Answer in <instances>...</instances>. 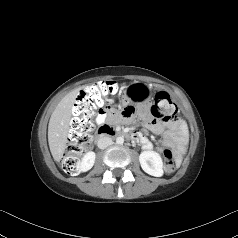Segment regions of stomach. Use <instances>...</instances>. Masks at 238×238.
Returning <instances> with one entry per match:
<instances>
[{
  "instance_id": "1",
  "label": "stomach",
  "mask_w": 238,
  "mask_h": 238,
  "mask_svg": "<svg viewBox=\"0 0 238 238\" xmlns=\"http://www.w3.org/2000/svg\"><path fill=\"white\" fill-rule=\"evenodd\" d=\"M151 96L150 87L141 82H134L128 85L125 91H121L115 96L112 100V103L115 107L120 108L125 103L129 101V99L133 100H143L148 99Z\"/></svg>"
}]
</instances>
